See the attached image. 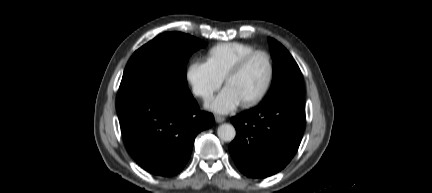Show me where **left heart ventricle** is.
I'll return each mask as SVG.
<instances>
[{
    "label": "left heart ventricle",
    "instance_id": "left-heart-ventricle-1",
    "mask_svg": "<svg viewBox=\"0 0 432 193\" xmlns=\"http://www.w3.org/2000/svg\"><path fill=\"white\" fill-rule=\"evenodd\" d=\"M268 71L266 57L258 55L229 82L227 87L232 89L243 103L260 93L267 81Z\"/></svg>",
    "mask_w": 432,
    "mask_h": 193
}]
</instances>
